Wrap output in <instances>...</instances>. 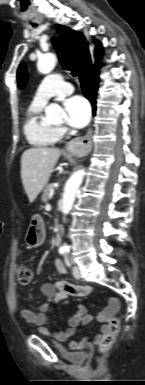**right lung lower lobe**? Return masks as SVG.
Listing matches in <instances>:
<instances>
[{"instance_id": "right-lung-lower-lobe-1", "label": "right lung lower lobe", "mask_w": 145, "mask_h": 385, "mask_svg": "<svg viewBox=\"0 0 145 385\" xmlns=\"http://www.w3.org/2000/svg\"><path fill=\"white\" fill-rule=\"evenodd\" d=\"M81 87L85 97L91 102L93 113L96 111V95L98 88V70L97 67H90L79 74Z\"/></svg>"}]
</instances>
